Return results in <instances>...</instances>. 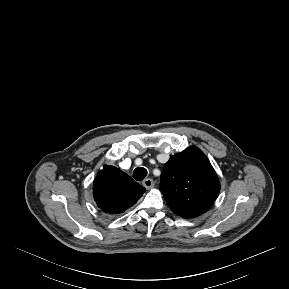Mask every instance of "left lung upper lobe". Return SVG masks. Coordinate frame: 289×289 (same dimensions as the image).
<instances>
[{
    "mask_svg": "<svg viewBox=\"0 0 289 289\" xmlns=\"http://www.w3.org/2000/svg\"><path fill=\"white\" fill-rule=\"evenodd\" d=\"M160 190L173 212L184 218L205 213L218 197L220 183L207 157L190 146L170 157L160 177Z\"/></svg>",
    "mask_w": 289,
    "mask_h": 289,
    "instance_id": "obj_1",
    "label": "left lung upper lobe"
}]
</instances>
